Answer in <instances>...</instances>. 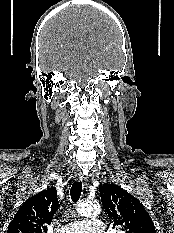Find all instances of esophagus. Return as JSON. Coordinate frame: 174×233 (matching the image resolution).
<instances>
[{
	"mask_svg": "<svg viewBox=\"0 0 174 233\" xmlns=\"http://www.w3.org/2000/svg\"><path fill=\"white\" fill-rule=\"evenodd\" d=\"M78 179H79L80 181L83 182V184H84L85 187L88 186V183H89V182H88V178H87L86 176H84V175H79Z\"/></svg>",
	"mask_w": 174,
	"mask_h": 233,
	"instance_id": "1",
	"label": "esophagus"
}]
</instances>
